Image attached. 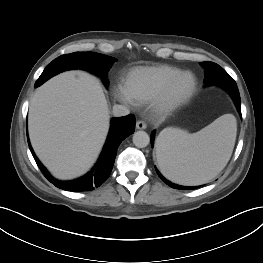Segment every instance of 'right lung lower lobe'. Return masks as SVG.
<instances>
[{"label":"right lung lower lobe","mask_w":263,"mask_h":263,"mask_svg":"<svg viewBox=\"0 0 263 263\" xmlns=\"http://www.w3.org/2000/svg\"><path fill=\"white\" fill-rule=\"evenodd\" d=\"M46 80H48L46 77H44L43 79L39 77L35 83V87L40 86ZM134 130L135 118L133 115L113 118L111 121V129L108 135L107 142L104 146L98 162L88 174L72 181H58L54 179L35 156L34 151L29 143V139L28 144L38 167L40 168L43 175L48 179V181L63 190L90 191L93 190L95 187L100 186L109 177L117 154V148L119 147L122 140L132 134Z\"/></svg>","instance_id":"right-lung-lower-lobe-1"}]
</instances>
